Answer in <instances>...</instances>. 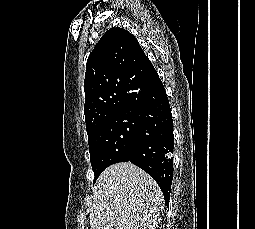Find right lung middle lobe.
<instances>
[{
	"mask_svg": "<svg viewBox=\"0 0 255 229\" xmlns=\"http://www.w3.org/2000/svg\"><path fill=\"white\" fill-rule=\"evenodd\" d=\"M138 127V117L124 109L102 123L88 137L90 162L95 176L93 183L108 166L129 160Z\"/></svg>",
	"mask_w": 255,
	"mask_h": 229,
	"instance_id": "1",
	"label": "right lung middle lobe"
}]
</instances>
